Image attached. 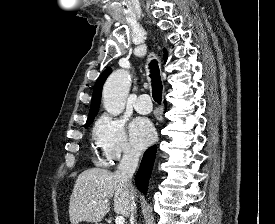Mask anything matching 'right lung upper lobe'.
<instances>
[{
    "label": "right lung upper lobe",
    "instance_id": "obj_1",
    "mask_svg": "<svg viewBox=\"0 0 275 224\" xmlns=\"http://www.w3.org/2000/svg\"><path fill=\"white\" fill-rule=\"evenodd\" d=\"M164 60L165 61L167 60V53L164 54ZM110 73H111V69L110 68L106 69L100 75V77L97 79V81L95 83L93 96H92V101H91L90 112H89L87 122L93 120L94 117L98 113L99 105H100V99H101V93H102V87H103V84H104L106 78L110 75Z\"/></svg>",
    "mask_w": 275,
    "mask_h": 224
}]
</instances>
